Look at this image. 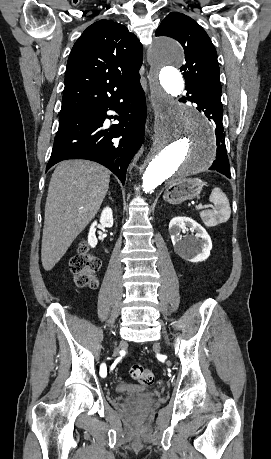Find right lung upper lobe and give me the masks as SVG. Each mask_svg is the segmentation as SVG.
<instances>
[{"instance_id":"1","label":"right lung upper lobe","mask_w":271,"mask_h":459,"mask_svg":"<svg viewBox=\"0 0 271 459\" xmlns=\"http://www.w3.org/2000/svg\"><path fill=\"white\" fill-rule=\"evenodd\" d=\"M142 50L122 24L104 19L90 25L68 58L61 112L95 107L138 82Z\"/></svg>"}]
</instances>
